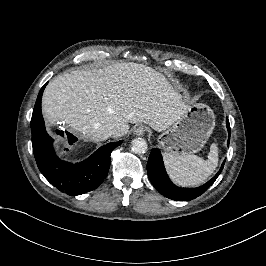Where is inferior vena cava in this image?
I'll list each match as a JSON object with an SVG mask.
<instances>
[{"instance_id": "602c4592", "label": "inferior vena cava", "mask_w": 266, "mask_h": 266, "mask_svg": "<svg viewBox=\"0 0 266 266\" xmlns=\"http://www.w3.org/2000/svg\"><path fill=\"white\" fill-rule=\"evenodd\" d=\"M115 133H116L115 129L103 128L102 132H100L101 134L100 140H107L109 137H111Z\"/></svg>"}]
</instances>
